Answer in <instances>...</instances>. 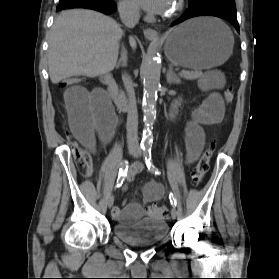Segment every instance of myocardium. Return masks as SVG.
<instances>
[{"mask_svg":"<svg viewBox=\"0 0 279 279\" xmlns=\"http://www.w3.org/2000/svg\"><path fill=\"white\" fill-rule=\"evenodd\" d=\"M183 6V0H177L173 8L172 15H176L178 12H180L183 9Z\"/></svg>","mask_w":279,"mask_h":279,"instance_id":"myocardium-1","label":"myocardium"}]
</instances>
